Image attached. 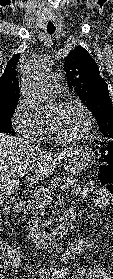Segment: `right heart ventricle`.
<instances>
[{
	"instance_id": "1",
	"label": "right heart ventricle",
	"mask_w": 113,
	"mask_h": 279,
	"mask_svg": "<svg viewBox=\"0 0 113 279\" xmlns=\"http://www.w3.org/2000/svg\"><path fill=\"white\" fill-rule=\"evenodd\" d=\"M40 121H41V124H42V130L43 131H42V135H41L39 140H48V138L50 136V131H49L47 125L42 120H40Z\"/></svg>"
}]
</instances>
